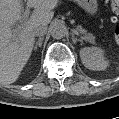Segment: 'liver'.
I'll list each match as a JSON object with an SVG mask.
<instances>
[{"instance_id":"obj_1","label":"liver","mask_w":119,"mask_h":119,"mask_svg":"<svg viewBox=\"0 0 119 119\" xmlns=\"http://www.w3.org/2000/svg\"><path fill=\"white\" fill-rule=\"evenodd\" d=\"M57 4L58 0H27L35 10L20 32L13 34L11 26L22 19V5L20 0H0V83L17 81L32 53L35 26L48 25Z\"/></svg>"}]
</instances>
